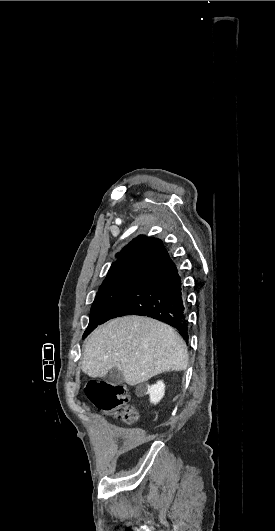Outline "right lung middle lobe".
<instances>
[{
  "label": "right lung middle lobe",
  "mask_w": 275,
  "mask_h": 531,
  "mask_svg": "<svg viewBox=\"0 0 275 531\" xmlns=\"http://www.w3.org/2000/svg\"><path fill=\"white\" fill-rule=\"evenodd\" d=\"M144 270L141 268L130 269L109 275L105 278L96 294L91 308L89 325L84 332L83 338L101 324L109 308L137 281Z\"/></svg>",
  "instance_id": "1"
}]
</instances>
